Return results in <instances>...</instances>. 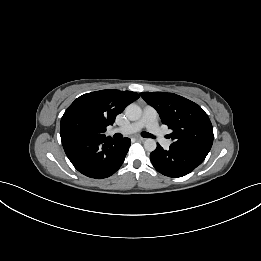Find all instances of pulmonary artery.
<instances>
[{
	"label": "pulmonary artery",
	"instance_id": "obj_1",
	"mask_svg": "<svg viewBox=\"0 0 261 261\" xmlns=\"http://www.w3.org/2000/svg\"><path fill=\"white\" fill-rule=\"evenodd\" d=\"M144 127L147 128L150 133L156 136L164 148H168L171 145V140L165 137V134L162 132L159 126L156 110L151 106H146L144 108L141 119L126 126L115 128L112 130V132L128 135L138 132Z\"/></svg>",
	"mask_w": 261,
	"mask_h": 261
}]
</instances>
